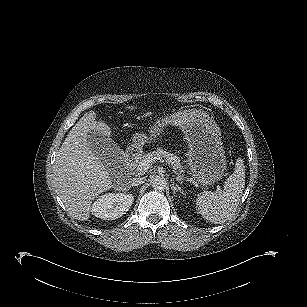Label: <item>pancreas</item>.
<instances>
[{
	"label": "pancreas",
	"instance_id": "1",
	"mask_svg": "<svg viewBox=\"0 0 307 307\" xmlns=\"http://www.w3.org/2000/svg\"><path fill=\"white\" fill-rule=\"evenodd\" d=\"M144 157L153 160H158L161 162H166L170 164L175 171H178L180 173H183L185 171L181 163V159L177 155L167 152L162 148H157L155 151H152L144 155Z\"/></svg>",
	"mask_w": 307,
	"mask_h": 307
}]
</instances>
